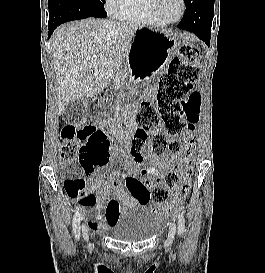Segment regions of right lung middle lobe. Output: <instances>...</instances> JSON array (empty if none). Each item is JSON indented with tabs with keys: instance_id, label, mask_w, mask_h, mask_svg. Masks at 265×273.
I'll return each instance as SVG.
<instances>
[{
	"instance_id": "dd1d6c3e",
	"label": "right lung middle lobe",
	"mask_w": 265,
	"mask_h": 273,
	"mask_svg": "<svg viewBox=\"0 0 265 273\" xmlns=\"http://www.w3.org/2000/svg\"><path fill=\"white\" fill-rule=\"evenodd\" d=\"M105 0H49L48 26L87 17H106Z\"/></svg>"
}]
</instances>
